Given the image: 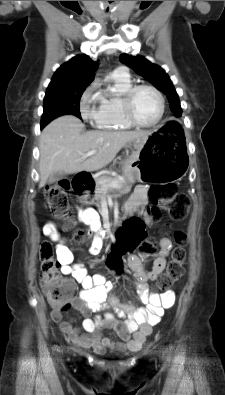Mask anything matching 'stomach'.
I'll list each match as a JSON object with an SVG mask.
<instances>
[{
    "label": "stomach",
    "mask_w": 225,
    "mask_h": 395,
    "mask_svg": "<svg viewBox=\"0 0 225 395\" xmlns=\"http://www.w3.org/2000/svg\"><path fill=\"white\" fill-rule=\"evenodd\" d=\"M158 136L154 132L145 142H133L132 154L123 168L128 181L156 183L179 180L184 175L183 163L175 161V155L168 157L160 146Z\"/></svg>",
    "instance_id": "stomach-1"
}]
</instances>
